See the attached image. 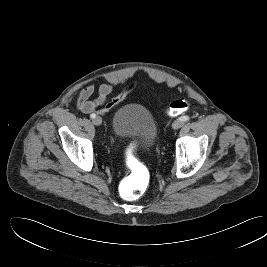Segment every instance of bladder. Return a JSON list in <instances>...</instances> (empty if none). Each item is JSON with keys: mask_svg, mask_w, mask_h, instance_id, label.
Wrapping results in <instances>:
<instances>
[{"mask_svg": "<svg viewBox=\"0 0 267 267\" xmlns=\"http://www.w3.org/2000/svg\"><path fill=\"white\" fill-rule=\"evenodd\" d=\"M112 128L118 138L136 137L142 149L150 148L158 134L154 116L140 103H127L121 106L113 116Z\"/></svg>", "mask_w": 267, "mask_h": 267, "instance_id": "obj_1", "label": "bladder"}]
</instances>
